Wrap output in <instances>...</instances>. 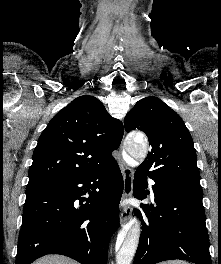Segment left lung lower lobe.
<instances>
[{"mask_svg": "<svg viewBox=\"0 0 221 264\" xmlns=\"http://www.w3.org/2000/svg\"><path fill=\"white\" fill-rule=\"evenodd\" d=\"M153 180L157 206L142 204L143 212L134 210L142 222V233L133 264L172 259L211 264L203 194ZM147 186L146 176L138 168L133 182L134 197L145 199Z\"/></svg>", "mask_w": 221, "mask_h": 264, "instance_id": "0a47b994", "label": "left lung lower lobe"}]
</instances>
